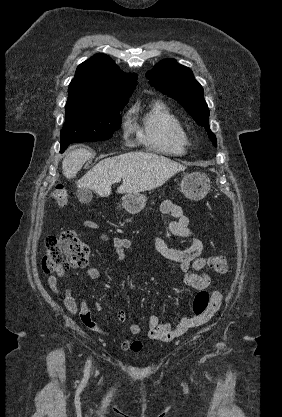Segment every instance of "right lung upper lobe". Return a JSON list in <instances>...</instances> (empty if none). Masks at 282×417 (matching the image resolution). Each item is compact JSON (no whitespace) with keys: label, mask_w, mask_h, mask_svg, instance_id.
Instances as JSON below:
<instances>
[{"label":"right lung upper lobe","mask_w":282,"mask_h":417,"mask_svg":"<svg viewBox=\"0 0 282 417\" xmlns=\"http://www.w3.org/2000/svg\"><path fill=\"white\" fill-rule=\"evenodd\" d=\"M137 75L122 73L114 61L99 53L81 63L68 88V95H131Z\"/></svg>","instance_id":"cb5924a9"}]
</instances>
